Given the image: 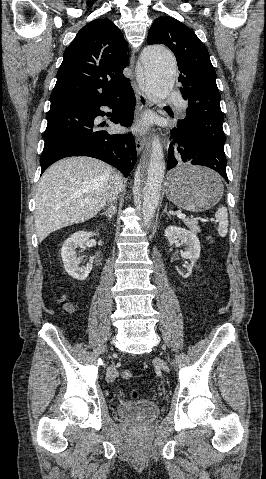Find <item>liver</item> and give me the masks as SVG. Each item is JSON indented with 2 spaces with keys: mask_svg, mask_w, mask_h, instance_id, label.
I'll return each mask as SVG.
<instances>
[{
  "mask_svg": "<svg viewBox=\"0 0 266 479\" xmlns=\"http://www.w3.org/2000/svg\"><path fill=\"white\" fill-rule=\"evenodd\" d=\"M116 174L108 164L85 156L66 158L50 166L36 189L38 240L42 242L52 232L96 216L108 200Z\"/></svg>",
  "mask_w": 266,
  "mask_h": 479,
  "instance_id": "6515ba94",
  "label": "liver"
}]
</instances>
